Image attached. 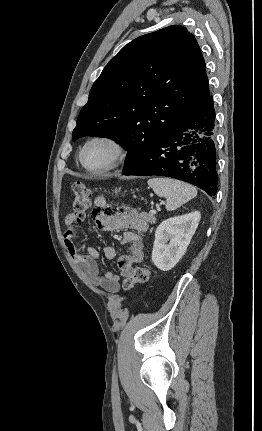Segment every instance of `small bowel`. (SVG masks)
Returning <instances> with one entry per match:
<instances>
[{"instance_id": "obj_1", "label": "small bowel", "mask_w": 262, "mask_h": 431, "mask_svg": "<svg viewBox=\"0 0 262 431\" xmlns=\"http://www.w3.org/2000/svg\"><path fill=\"white\" fill-rule=\"evenodd\" d=\"M105 199H93L94 218L97 226L109 232H122L121 244L128 247L129 254L124 255L120 262V274L111 271L99 272L97 259L99 252L94 247H86L85 252L75 243L76 233L73 228L74 219L71 215L65 218V244L72 260L88 281L110 294H119L123 287L122 281L132 274V265L140 262L144 256L143 239L148 232L149 218L142 212L131 209H117L113 214H107ZM104 255L109 260L117 256L114 246L104 248Z\"/></svg>"}]
</instances>
